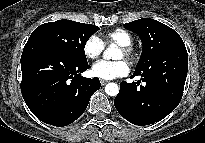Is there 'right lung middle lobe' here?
<instances>
[{"mask_svg":"<svg viewBox=\"0 0 205 143\" xmlns=\"http://www.w3.org/2000/svg\"><path fill=\"white\" fill-rule=\"evenodd\" d=\"M98 30L99 27L95 25L58 20L37 27L29 40L35 39L51 44L69 57L87 62L84 53L85 43Z\"/></svg>","mask_w":205,"mask_h":143,"instance_id":"obj_1","label":"right lung middle lobe"}]
</instances>
